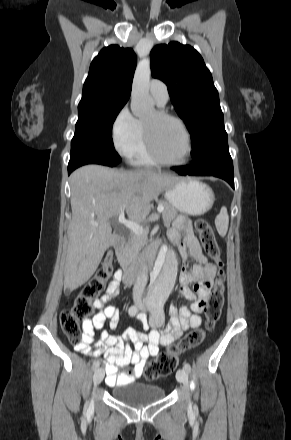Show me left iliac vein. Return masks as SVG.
<instances>
[{"label": "left iliac vein", "mask_w": 291, "mask_h": 440, "mask_svg": "<svg viewBox=\"0 0 291 440\" xmlns=\"http://www.w3.org/2000/svg\"><path fill=\"white\" fill-rule=\"evenodd\" d=\"M176 379H177L180 383H182V384H184V385H187V383H188V371L185 370L184 368L179 369V370L177 371V373H176Z\"/></svg>", "instance_id": "4c4485c4"}]
</instances>
